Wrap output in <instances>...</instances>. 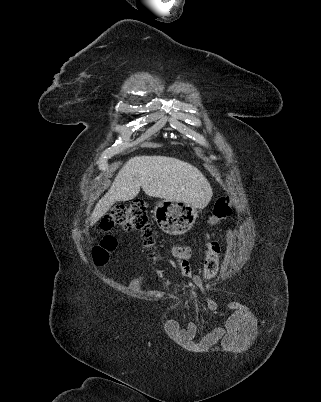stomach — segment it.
Returning a JSON list of instances; mask_svg holds the SVG:
<instances>
[{
  "label": "stomach",
  "mask_w": 321,
  "mask_h": 402,
  "mask_svg": "<svg viewBox=\"0 0 321 402\" xmlns=\"http://www.w3.org/2000/svg\"><path fill=\"white\" fill-rule=\"evenodd\" d=\"M198 210L193 205L164 199L156 204L154 219L163 232L169 235H182L195 223Z\"/></svg>",
  "instance_id": "obj_1"
}]
</instances>
